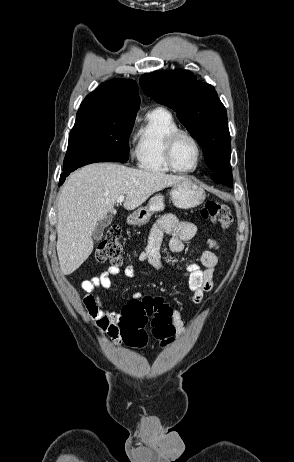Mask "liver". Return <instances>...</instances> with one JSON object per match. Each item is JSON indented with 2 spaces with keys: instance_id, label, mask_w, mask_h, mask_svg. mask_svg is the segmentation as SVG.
<instances>
[{
  "instance_id": "liver-1",
  "label": "liver",
  "mask_w": 294,
  "mask_h": 462,
  "mask_svg": "<svg viewBox=\"0 0 294 462\" xmlns=\"http://www.w3.org/2000/svg\"><path fill=\"white\" fill-rule=\"evenodd\" d=\"M184 179L114 163H94L72 173L58 198L57 254L62 273H73L90 256L92 233L108 213L116 214L119 196H126V210H134L155 192Z\"/></svg>"
}]
</instances>
